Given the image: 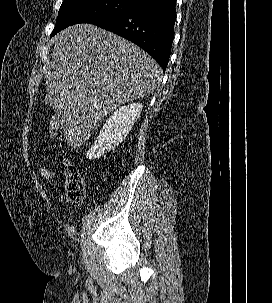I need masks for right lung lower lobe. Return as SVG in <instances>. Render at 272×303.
Segmentation results:
<instances>
[{
	"label": "right lung lower lobe",
	"mask_w": 272,
	"mask_h": 303,
	"mask_svg": "<svg viewBox=\"0 0 272 303\" xmlns=\"http://www.w3.org/2000/svg\"><path fill=\"white\" fill-rule=\"evenodd\" d=\"M176 0H153L92 24L118 34L149 53L165 71L174 38Z\"/></svg>",
	"instance_id": "98d812e1"
}]
</instances>
